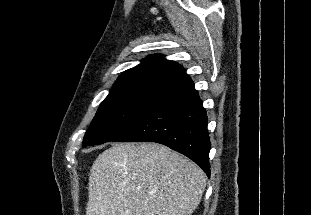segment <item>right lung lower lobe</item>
<instances>
[{"label":"right lung lower lobe","mask_w":311,"mask_h":215,"mask_svg":"<svg viewBox=\"0 0 311 215\" xmlns=\"http://www.w3.org/2000/svg\"><path fill=\"white\" fill-rule=\"evenodd\" d=\"M206 110L185 75L169 85L159 102L114 142H156L184 154L210 177L211 143Z\"/></svg>","instance_id":"1"}]
</instances>
